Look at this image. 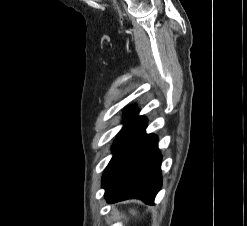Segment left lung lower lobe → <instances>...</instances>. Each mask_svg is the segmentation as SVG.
<instances>
[{
  "instance_id": "obj_1",
  "label": "left lung lower lobe",
  "mask_w": 247,
  "mask_h": 226,
  "mask_svg": "<svg viewBox=\"0 0 247 226\" xmlns=\"http://www.w3.org/2000/svg\"><path fill=\"white\" fill-rule=\"evenodd\" d=\"M136 114L135 108L127 111V122L102 177L108 203L138 198L153 204L162 186L157 137L145 133L146 118Z\"/></svg>"
}]
</instances>
